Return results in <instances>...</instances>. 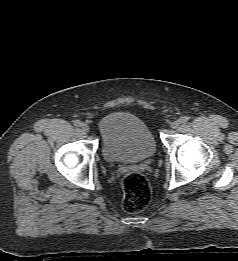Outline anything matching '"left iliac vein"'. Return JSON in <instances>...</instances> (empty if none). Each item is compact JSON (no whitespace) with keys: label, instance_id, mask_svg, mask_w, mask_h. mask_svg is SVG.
I'll list each match as a JSON object with an SVG mask.
<instances>
[{"label":"left iliac vein","instance_id":"1","mask_svg":"<svg viewBox=\"0 0 238 261\" xmlns=\"http://www.w3.org/2000/svg\"><path fill=\"white\" fill-rule=\"evenodd\" d=\"M179 124H180V122L178 120H176L171 123V128L176 129V128H178Z\"/></svg>","mask_w":238,"mask_h":261}]
</instances>
